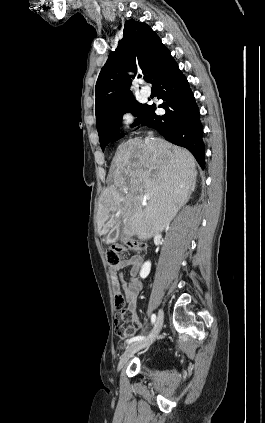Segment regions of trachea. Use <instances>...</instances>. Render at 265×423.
Returning a JSON list of instances; mask_svg holds the SVG:
<instances>
[{
	"mask_svg": "<svg viewBox=\"0 0 265 423\" xmlns=\"http://www.w3.org/2000/svg\"><path fill=\"white\" fill-rule=\"evenodd\" d=\"M144 80H145L146 82H149V78H148V76H145V77H144Z\"/></svg>",
	"mask_w": 265,
	"mask_h": 423,
	"instance_id": "1",
	"label": "trachea"
}]
</instances>
